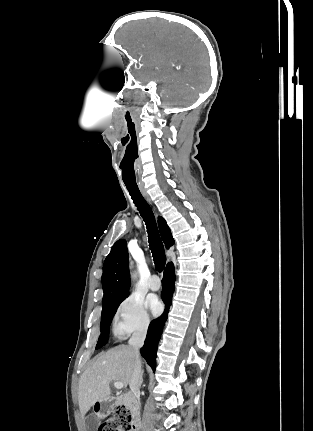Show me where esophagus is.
<instances>
[{
	"label": "esophagus",
	"mask_w": 313,
	"mask_h": 431,
	"mask_svg": "<svg viewBox=\"0 0 313 431\" xmlns=\"http://www.w3.org/2000/svg\"><path fill=\"white\" fill-rule=\"evenodd\" d=\"M141 193L144 196V198L152 205V201H151L149 195L147 194L146 190L141 189Z\"/></svg>",
	"instance_id": "obj_1"
}]
</instances>
